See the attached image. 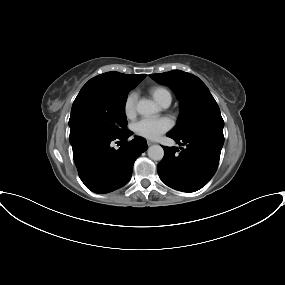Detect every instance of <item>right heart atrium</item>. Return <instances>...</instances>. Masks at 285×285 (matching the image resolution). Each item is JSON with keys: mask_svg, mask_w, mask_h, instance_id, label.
I'll use <instances>...</instances> for the list:
<instances>
[{"mask_svg": "<svg viewBox=\"0 0 285 285\" xmlns=\"http://www.w3.org/2000/svg\"><path fill=\"white\" fill-rule=\"evenodd\" d=\"M137 94L130 92L124 101V113L127 118H133L136 114Z\"/></svg>", "mask_w": 285, "mask_h": 285, "instance_id": "1", "label": "right heart atrium"}]
</instances>
